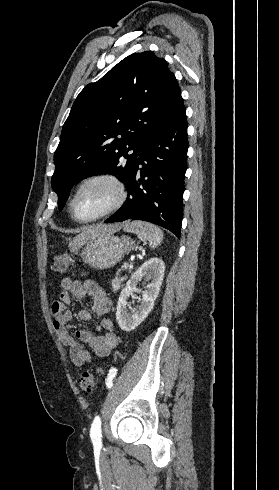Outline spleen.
Here are the masks:
<instances>
[{"mask_svg": "<svg viewBox=\"0 0 279 490\" xmlns=\"http://www.w3.org/2000/svg\"><path fill=\"white\" fill-rule=\"evenodd\" d=\"M125 232H134L142 242H149L150 248H157L161 244L163 234L157 226L148 222H126Z\"/></svg>", "mask_w": 279, "mask_h": 490, "instance_id": "3e777b00", "label": "spleen"}]
</instances>
